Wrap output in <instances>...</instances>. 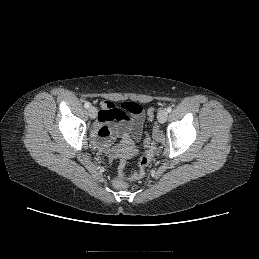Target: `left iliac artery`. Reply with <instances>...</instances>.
Segmentation results:
<instances>
[{
    "label": "left iliac artery",
    "instance_id": "1",
    "mask_svg": "<svg viewBox=\"0 0 259 259\" xmlns=\"http://www.w3.org/2000/svg\"><path fill=\"white\" fill-rule=\"evenodd\" d=\"M171 111H172V107H168L167 112H171Z\"/></svg>",
    "mask_w": 259,
    "mask_h": 259
}]
</instances>
